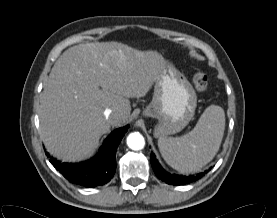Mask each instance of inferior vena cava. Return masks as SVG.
<instances>
[{
	"label": "inferior vena cava",
	"instance_id": "602c4592",
	"mask_svg": "<svg viewBox=\"0 0 277 218\" xmlns=\"http://www.w3.org/2000/svg\"><path fill=\"white\" fill-rule=\"evenodd\" d=\"M104 115H105V117H106L107 119H111L112 116H113V112H112L111 109L107 108V109H105V111H104Z\"/></svg>",
	"mask_w": 277,
	"mask_h": 218
}]
</instances>
